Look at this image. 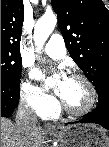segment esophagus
Returning a JSON list of instances; mask_svg holds the SVG:
<instances>
[{
  "instance_id": "34e87169",
  "label": "esophagus",
  "mask_w": 109,
  "mask_h": 147,
  "mask_svg": "<svg viewBox=\"0 0 109 147\" xmlns=\"http://www.w3.org/2000/svg\"><path fill=\"white\" fill-rule=\"evenodd\" d=\"M44 128H45V129H53V126H52L50 123H46V124L44 125Z\"/></svg>"
}]
</instances>
